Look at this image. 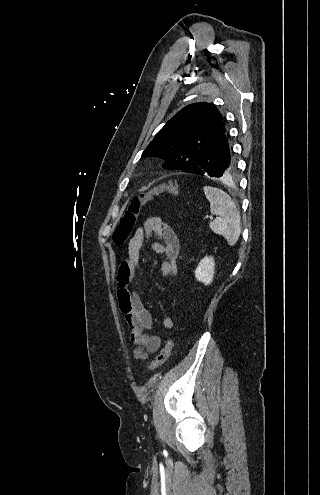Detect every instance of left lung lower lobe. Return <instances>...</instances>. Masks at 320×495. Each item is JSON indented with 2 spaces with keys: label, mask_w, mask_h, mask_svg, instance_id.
Here are the masks:
<instances>
[{
  "label": "left lung lower lobe",
  "mask_w": 320,
  "mask_h": 495,
  "mask_svg": "<svg viewBox=\"0 0 320 495\" xmlns=\"http://www.w3.org/2000/svg\"><path fill=\"white\" fill-rule=\"evenodd\" d=\"M236 166V160L225 131L193 165L183 171L201 176L227 178L234 174Z\"/></svg>",
  "instance_id": "0a47b994"
}]
</instances>
